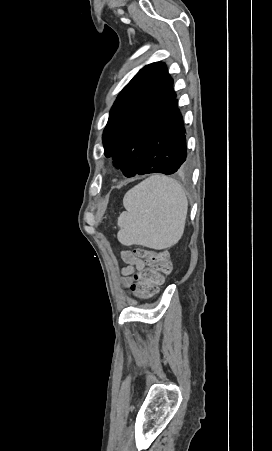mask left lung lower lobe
<instances>
[{
	"label": "left lung lower lobe",
	"mask_w": 272,
	"mask_h": 451,
	"mask_svg": "<svg viewBox=\"0 0 272 451\" xmlns=\"http://www.w3.org/2000/svg\"><path fill=\"white\" fill-rule=\"evenodd\" d=\"M185 128L176 97L161 116L136 174H173L189 167Z\"/></svg>",
	"instance_id": "1"
}]
</instances>
